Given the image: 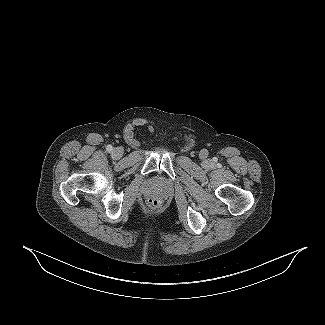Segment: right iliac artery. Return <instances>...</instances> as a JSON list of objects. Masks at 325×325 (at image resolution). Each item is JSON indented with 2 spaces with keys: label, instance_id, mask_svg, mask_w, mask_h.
I'll list each match as a JSON object with an SVG mask.
<instances>
[{
  "label": "right iliac artery",
  "instance_id": "82829eb1",
  "mask_svg": "<svg viewBox=\"0 0 325 325\" xmlns=\"http://www.w3.org/2000/svg\"><path fill=\"white\" fill-rule=\"evenodd\" d=\"M106 150H107L108 152H111V151L113 150V147H112L111 145H107V146H106Z\"/></svg>",
  "mask_w": 325,
  "mask_h": 325
}]
</instances>
